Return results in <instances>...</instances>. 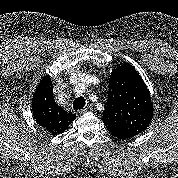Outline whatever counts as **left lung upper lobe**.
<instances>
[{"mask_svg":"<svg viewBox=\"0 0 178 178\" xmlns=\"http://www.w3.org/2000/svg\"><path fill=\"white\" fill-rule=\"evenodd\" d=\"M103 111L105 125L142 133L153 118L149 91L130 64L114 69L109 79V94Z\"/></svg>","mask_w":178,"mask_h":178,"instance_id":"1","label":"left lung upper lobe"}]
</instances>
